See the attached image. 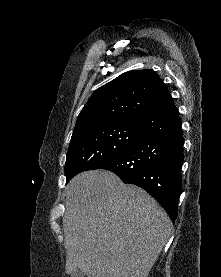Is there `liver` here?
Masks as SVG:
<instances>
[{"label":"liver","mask_w":221,"mask_h":277,"mask_svg":"<svg viewBox=\"0 0 221 277\" xmlns=\"http://www.w3.org/2000/svg\"><path fill=\"white\" fill-rule=\"evenodd\" d=\"M66 273L88 277H148L172 223L143 189L110 171L91 170L66 187Z\"/></svg>","instance_id":"obj_1"}]
</instances>
